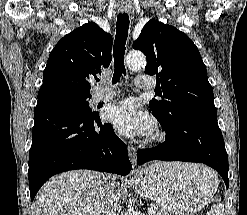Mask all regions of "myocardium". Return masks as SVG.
Instances as JSON below:
<instances>
[{"label": "myocardium", "instance_id": "f54148a6", "mask_svg": "<svg viewBox=\"0 0 247 215\" xmlns=\"http://www.w3.org/2000/svg\"><path fill=\"white\" fill-rule=\"evenodd\" d=\"M154 138L156 141H161L164 138V134L162 132H158Z\"/></svg>", "mask_w": 247, "mask_h": 215}]
</instances>
